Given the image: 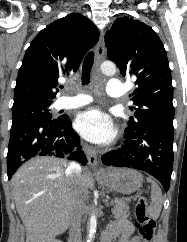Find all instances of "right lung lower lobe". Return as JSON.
Returning a JSON list of instances; mask_svg holds the SVG:
<instances>
[{
  "instance_id": "right-lung-lower-lobe-1",
  "label": "right lung lower lobe",
  "mask_w": 187,
  "mask_h": 242,
  "mask_svg": "<svg viewBox=\"0 0 187 242\" xmlns=\"http://www.w3.org/2000/svg\"><path fill=\"white\" fill-rule=\"evenodd\" d=\"M79 144V136L67 116L60 120L25 121L12 125L7 154L8 178L35 156L64 158L68 155V159L86 165L87 159Z\"/></svg>"
}]
</instances>
